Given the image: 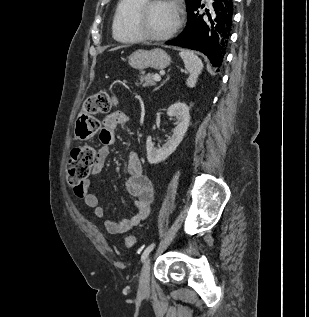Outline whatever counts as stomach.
Returning <instances> with one entry per match:
<instances>
[{
	"mask_svg": "<svg viewBox=\"0 0 309 317\" xmlns=\"http://www.w3.org/2000/svg\"><path fill=\"white\" fill-rule=\"evenodd\" d=\"M171 62L170 56L162 49L155 48L152 50L139 49L128 57L129 65L137 70H143L148 67L154 69H164Z\"/></svg>",
	"mask_w": 309,
	"mask_h": 317,
	"instance_id": "1",
	"label": "stomach"
}]
</instances>
